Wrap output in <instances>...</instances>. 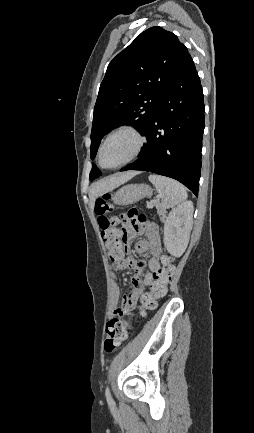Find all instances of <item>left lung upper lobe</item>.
Returning a JSON list of instances; mask_svg holds the SVG:
<instances>
[{"label": "left lung upper lobe", "mask_w": 254, "mask_h": 433, "mask_svg": "<svg viewBox=\"0 0 254 433\" xmlns=\"http://www.w3.org/2000/svg\"><path fill=\"white\" fill-rule=\"evenodd\" d=\"M187 53L175 34L155 26L142 32L110 62L94 107L91 159L103 136L121 124H133L145 133ZM100 175L92 163L89 179Z\"/></svg>", "instance_id": "obj_1"}]
</instances>
